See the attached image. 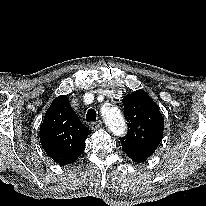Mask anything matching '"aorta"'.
Returning <instances> with one entry per match:
<instances>
[{"label": "aorta", "mask_w": 206, "mask_h": 206, "mask_svg": "<svg viewBox=\"0 0 206 206\" xmlns=\"http://www.w3.org/2000/svg\"><path fill=\"white\" fill-rule=\"evenodd\" d=\"M102 113L110 131L116 136H123L127 127L120 110L112 104H107L102 108Z\"/></svg>", "instance_id": "obj_1"}]
</instances>
